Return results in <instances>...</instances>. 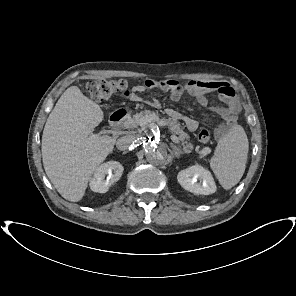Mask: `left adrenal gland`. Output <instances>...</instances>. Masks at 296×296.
<instances>
[{"label": "left adrenal gland", "mask_w": 296, "mask_h": 296, "mask_svg": "<svg viewBox=\"0 0 296 296\" xmlns=\"http://www.w3.org/2000/svg\"><path fill=\"white\" fill-rule=\"evenodd\" d=\"M170 146L176 158H179L181 154H184V152L173 143H170Z\"/></svg>", "instance_id": "a2214340"}]
</instances>
